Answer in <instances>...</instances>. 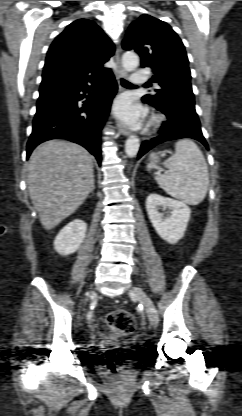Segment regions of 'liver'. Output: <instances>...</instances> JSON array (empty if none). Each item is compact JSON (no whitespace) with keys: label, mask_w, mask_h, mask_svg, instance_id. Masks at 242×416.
I'll use <instances>...</instances> for the list:
<instances>
[{"label":"liver","mask_w":242,"mask_h":416,"mask_svg":"<svg viewBox=\"0 0 242 416\" xmlns=\"http://www.w3.org/2000/svg\"><path fill=\"white\" fill-rule=\"evenodd\" d=\"M27 184L42 226L52 229L94 189L93 157L76 143L46 141L29 158Z\"/></svg>","instance_id":"6515ba94"}]
</instances>
